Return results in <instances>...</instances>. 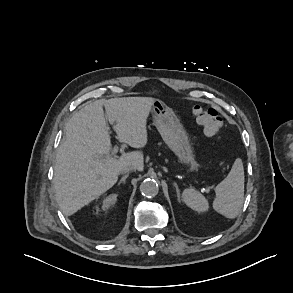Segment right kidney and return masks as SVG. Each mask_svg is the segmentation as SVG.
I'll use <instances>...</instances> for the list:
<instances>
[{
  "label": "right kidney",
  "mask_w": 293,
  "mask_h": 293,
  "mask_svg": "<svg viewBox=\"0 0 293 293\" xmlns=\"http://www.w3.org/2000/svg\"><path fill=\"white\" fill-rule=\"evenodd\" d=\"M116 200H117V194H111V195H109L108 197H106L103 200L102 209L103 210L108 209L111 205L115 204Z\"/></svg>",
  "instance_id": "right-kidney-1"
}]
</instances>
